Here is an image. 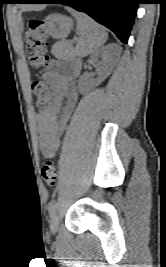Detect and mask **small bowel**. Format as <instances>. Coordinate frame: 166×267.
I'll list each match as a JSON object with an SVG mask.
<instances>
[{"mask_svg": "<svg viewBox=\"0 0 166 267\" xmlns=\"http://www.w3.org/2000/svg\"><path fill=\"white\" fill-rule=\"evenodd\" d=\"M77 73L78 70L75 67L52 60L43 74V79L58 90V99L49 107L36 113L39 145L45 156H53L59 148L61 134L78 97L74 85ZM62 98H65L63 107Z\"/></svg>", "mask_w": 166, "mask_h": 267, "instance_id": "c3829d8e", "label": "small bowel"}]
</instances>
